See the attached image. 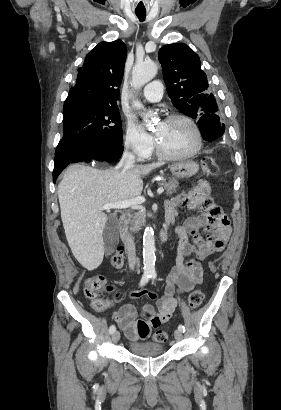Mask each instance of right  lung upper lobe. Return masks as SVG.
<instances>
[{"mask_svg":"<svg viewBox=\"0 0 281 410\" xmlns=\"http://www.w3.org/2000/svg\"><path fill=\"white\" fill-rule=\"evenodd\" d=\"M126 61V45L121 40L99 43L78 69L76 85L64 106L88 104L117 107L118 87L121 84Z\"/></svg>","mask_w":281,"mask_h":410,"instance_id":"cb5924a9","label":"right lung upper lobe"}]
</instances>
